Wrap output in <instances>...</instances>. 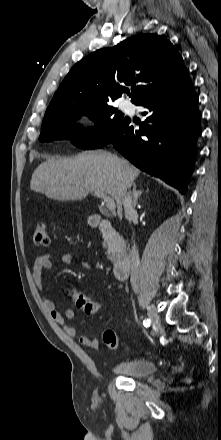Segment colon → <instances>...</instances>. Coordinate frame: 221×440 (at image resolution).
<instances>
[{"mask_svg": "<svg viewBox=\"0 0 221 440\" xmlns=\"http://www.w3.org/2000/svg\"><path fill=\"white\" fill-rule=\"evenodd\" d=\"M34 242L37 245L47 246L49 244V235L47 227L44 223L40 222L36 225L33 233ZM75 307L78 310H81L87 314H95L100 309H102L103 305L95 300H91L83 294L79 293L75 298ZM103 340L106 346L115 350L119 346L118 337L114 330L107 329L103 334Z\"/></svg>", "mask_w": 221, "mask_h": 440, "instance_id": "colon-1", "label": "colon"}]
</instances>
